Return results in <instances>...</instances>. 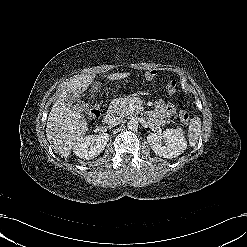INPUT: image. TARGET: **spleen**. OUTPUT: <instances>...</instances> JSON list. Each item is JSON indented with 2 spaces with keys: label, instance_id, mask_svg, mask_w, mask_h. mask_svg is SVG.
<instances>
[{
  "label": "spleen",
  "instance_id": "spleen-1",
  "mask_svg": "<svg viewBox=\"0 0 247 247\" xmlns=\"http://www.w3.org/2000/svg\"><path fill=\"white\" fill-rule=\"evenodd\" d=\"M201 119L199 117H194L190 120L188 128V140L191 146H195L198 142V138L201 132Z\"/></svg>",
  "mask_w": 247,
  "mask_h": 247
}]
</instances>
